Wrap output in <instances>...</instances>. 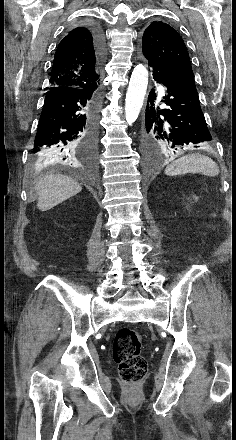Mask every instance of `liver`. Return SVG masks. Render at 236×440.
I'll return each mask as SVG.
<instances>
[{
	"label": "liver",
	"instance_id": "liver-1",
	"mask_svg": "<svg viewBox=\"0 0 236 440\" xmlns=\"http://www.w3.org/2000/svg\"><path fill=\"white\" fill-rule=\"evenodd\" d=\"M82 190L81 185L65 175H45L36 184L37 207L47 211L73 197Z\"/></svg>",
	"mask_w": 236,
	"mask_h": 440
}]
</instances>
